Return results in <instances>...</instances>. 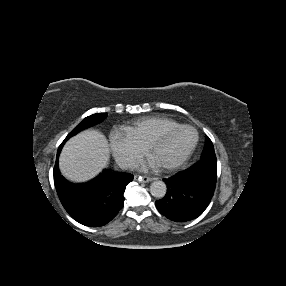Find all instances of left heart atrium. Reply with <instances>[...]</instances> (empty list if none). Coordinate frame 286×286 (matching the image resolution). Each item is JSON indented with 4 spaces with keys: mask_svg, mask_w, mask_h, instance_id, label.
Wrapping results in <instances>:
<instances>
[{
    "mask_svg": "<svg viewBox=\"0 0 286 286\" xmlns=\"http://www.w3.org/2000/svg\"><path fill=\"white\" fill-rule=\"evenodd\" d=\"M157 165L158 163L153 158H151L148 161H138L135 164L136 167L143 168V169L147 167H156Z\"/></svg>",
    "mask_w": 286,
    "mask_h": 286,
    "instance_id": "1",
    "label": "left heart atrium"
}]
</instances>
